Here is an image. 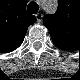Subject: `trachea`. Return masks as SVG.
Returning a JSON list of instances; mask_svg holds the SVG:
<instances>
[{
    "instance_id": "1",
    "label": "trachea",
    "mask_w": 80,
    "mask_h": 80,
    "mask_svg": "<svg viewBox=\"0 0 80 80\" xmlns=\"http://www.w3.org/2000/svg\"><path fill=\"white\" fill-rule=\"evenodd\" d=\"M28 12L31 14H35L39 10V5L36 2H30L27 6Z\"/></svg>"
}]
</instances>
